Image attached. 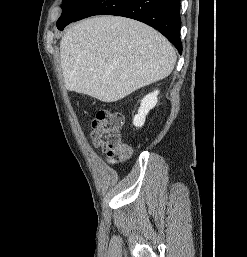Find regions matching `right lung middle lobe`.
Here are the masks:
<instances>
[{"label":"right lung middle lobe","mask_w":247,"mask_h":257,"mask_svg":"<svg viewBox=\"0 0 247 257\" xmlns=\"http://www.w3.org/2000/svg\"><path fill=\"white\" fill-rule=\"evenodd\" d=\"M92 0H63L62 15L57 21V28L73 21Z\"/></svg>","instance_id":"obj_1"}]
</instances>
